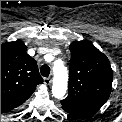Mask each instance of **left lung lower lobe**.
I'll list each match as a JSON object with an SVG mask.
<instances>
[{
    "label": "left lung lower lobe",
    "mask_w": 122,
    "mask_h": 122,
    "mask_svg": "<svg viewBox=\"0 0 122 122\" xmlns=\"http://www.w3.org/2000/svg\"><path fill=\"white\" fill-rule=\"evenodd\" d=\"M63 109H64L65 111H67L68 113H70V114L74 115V116L80 117V116H78V115H76V114H74V113H72V112H70V111L66 110L65 108H63Z\"/></svg>",
    "instance_id": "obj_1"
}]
</instances>
